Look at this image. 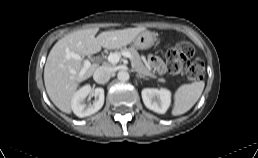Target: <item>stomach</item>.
I'll return each mask as SVG.
<instances>
[{
    "label": "stomach",
    "mask_w": 258,
    "mask_h": 158,
    "mask_svg": "<svg viewBox=\"0 0 258 158\" xmlns=\"http://www.w3.org/2000/svg\"><path fill=\"white\" fill-rule=\"evenodd\" d=\"M156 37L153 32L144 30L133 40V45L138 49H149L155 43Z\"/></svg>",
    "instance_id": "1"
}]
</instances>
